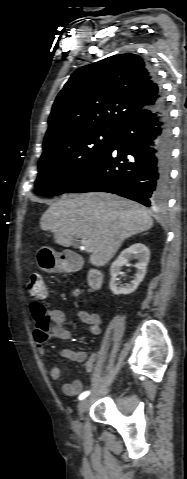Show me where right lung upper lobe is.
Wrapping results in <instances>:
<instances>
[{
	"label": "right lung upper lobe",
	"mask_w": 187,
	"mask_h": 479,
	"mask_svg": "<svg viewBox=\"0 0 187 479\" xmlns=\"http://www.w3.org/2000/svg\"><path fill=\"white\" fill-rule=\"evenodd\" d=\"M162 97L147 63L121 54L76 70L57 96L44 145L92 129H120Z\"/></svg>",
	"instance_id": "1"
}]
</instances>
